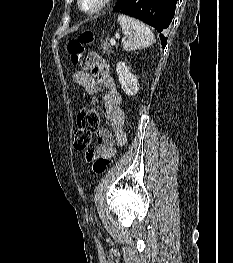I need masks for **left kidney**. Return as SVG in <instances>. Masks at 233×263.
Here are the masks:
<instances>
[{"mask_svg":"<svg viewBox=\"0 0 233 263\" xmlns=\"http://www.w3.org/2000/svg\"><path fill=\"white\" fill-rule=\"evenodd\" d=\"M130 69L124 62H118L116 65V73L123 91L129 96H133L139 91L140 85L138 78L130 72Z\"/></svg>","mask_w":233,"mask_h":263,"instance_id":"left-kidney-1","label":"left kidney"}]
</instances>
